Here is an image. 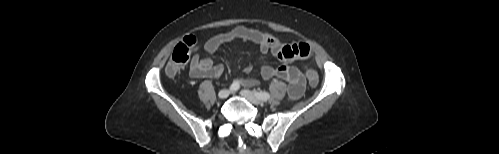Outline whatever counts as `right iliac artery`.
<instances>
[{
    "mask_svg": "<svg viewBox=\"0 0 499 154\" xmlns=\"http://www.w3.org/2000/svg\"><path fill=\"white\" fill-rule=\"evenodd\" d=\"M240 84L238 81H233V83L230 85V90L235 92L239 89Z\"/></svg>",
    "mask_w": 499,
    "mask_h": 154,
    "instance_id": "obj_1",
    "label": "right iliac artery"
}]
</instances>
